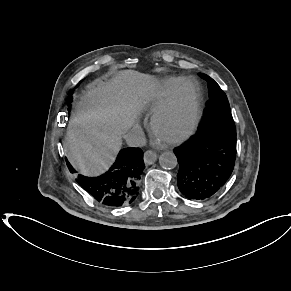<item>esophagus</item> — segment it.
Returning a JSON list of instances; mask_svg holds the SVG:
<instances>
[{"mask_svg":"<svg viewBox=\"0 0 291 291\" xmlns=\"http://www.w3.org/2000/svg\"><path fill=\"white\" fill-rule=\"evenodd\" d=\"M157 157L158 155L155 152L148 150L144 153V162L146 165H151L156 161Z\"/></svg>","mask_w":291,"mask_h":291,"instance_id":"obj_1","label":"esophagus"}]
</instances>
